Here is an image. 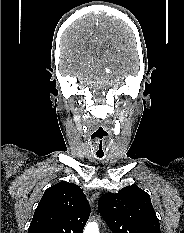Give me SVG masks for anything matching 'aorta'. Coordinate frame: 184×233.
<instances>
[{
	"label": "aorta",
	"mask_w": 184,
	"mask_h": 233,
	"mask_svg": "<svg viewBox=\"0 0 184 233\" xmlns=\"http://www.w3.org/2000/svg\"><path fill=\"white\" fill-rule=\"evenodd\" d=\"M84 233H99L98 224L96 222H89L84 229Z\"/></svg>",
	"instance_id": "762f6f07"
}]
</instances>
